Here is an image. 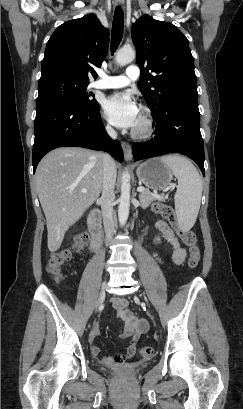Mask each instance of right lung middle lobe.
Returning a JSON list of instances; mask_svg holds the SVG:
<instances>
[{
	"instance_id": "dd1d6c3e",
	"label": "right lung middle lobe",
	"mask_w": 243,
	"mask_h": 409,
	"mask_svg": "<svg viewBox=\"0 0 243 409\" xmlns=\"http://www.w3.org/2000/svg\"><path fill=\"white\" fill-rule=\"evenodd\" d=\"M88 84L64 76H52L39 80L36 108L50 103H65L77 107L97 104L86 92Z\"/></svg>"
}]
</instances>
